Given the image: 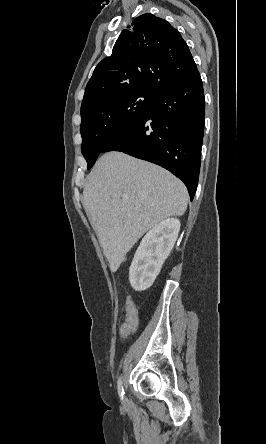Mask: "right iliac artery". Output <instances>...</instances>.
Returning <instances> with one entry per match:
<instances>
[{"label": "right iliac artery", "mask_w": 266, "mask_h": 444, "mask_svg": "<svg viewBox=\"0 0 266 444\" xmlns=\"http://www.w3.org/2000/svg\"><path fill=\"white\" fill-rule=\"evenodd\" d=\"M118 394H119L121 400H123V398H124V389H123V382H122V378L121 377L118 380Z\"/></svg>", "instance_id": "1"}]
</instances>
